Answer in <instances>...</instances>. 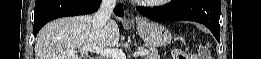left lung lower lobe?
Returning a JSON list of instances; mask_svg holds the SVG:
<instances>
[{
    "label": "left lung lower lobe",
    "mask_w": 261,
    "mask_h": 59,
    "mask_svg": "<svg viewBox=\"0 0 261 59\" xmlns=\"http://www.w3.org/2000/svg\"><path fill=\"white\" fill-rule=\"evenodd\" d=\"M137 10L141 15L156 21L189 20L202 23L220 41V0H172L163 8L137 7Z\"/></svg>",
    "instance_id": "left-lung-lower-lobe-1"
}]
</instances>
